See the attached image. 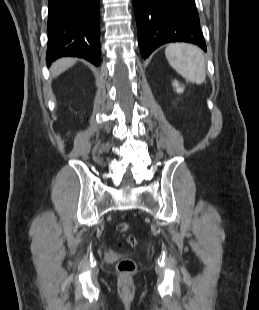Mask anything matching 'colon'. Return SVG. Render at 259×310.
Instances as JSON below:
<instances>
[{"label": "colon", "mask_w": 259, "mask_h": 310, "mask_svg": "<svg viewBox=\"0 0 259 310\" xmlns=\"http://www.w3.org/2000/svg\"><path fill=\"white\" fill-rule=\"evenodd\" d=\"M117 230L121 233L127 232L129 230V224L121 222L117 225ZM125 240L132 247L138 245V240L133 235H127ZM117 269L122 273H132L136 269V262L131 258H123L118 262Z\"/></svg>", "instance_id": "1"}]
</instances>
